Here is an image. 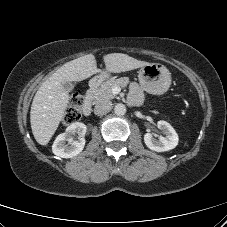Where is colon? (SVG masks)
Segmentation results:
<instances>
[{
    "instance_id": "colon-1",
    "label": "colon",
    "mask_w": 227,
    "mask_h": 227,
    "mask_svg": "<svg viewBox=\"0 0 227 227\" xmlns=\"http://www.w3.org/2000/svg\"><path fill=\"white\" fill-rule=\"evenodd\" d=\"M83 95L79 92H74L71 95L69 104L65 110L63 121L65 124H73L81 118L83 105Z\"/></svg>"
}]
</instances>
